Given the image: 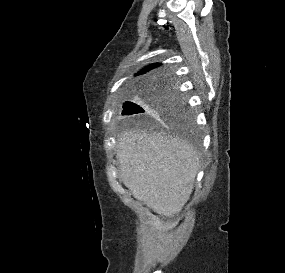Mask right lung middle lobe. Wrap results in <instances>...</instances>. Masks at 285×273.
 <instances>
[{"label":"right lung middle lobe","instance_id":"right-lung-middle-lobe-1","mask_svg":"<svg viewBox=\"0 0 285 273\" xmlns=\"http://www.w3.org/2000/svg\"><path fill=\"white\" fill-rule=\"evenodd\" d=\"M123 115H132L133 120L148 122L154 116L169 126L188 130L192 118L186 111L182 98L173 83L164 76L149 79L145 89L134 102L123 105Z\"/></svg>","mask_w":285,"mask_h":273}]
</instances>
